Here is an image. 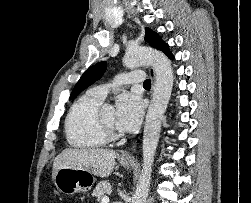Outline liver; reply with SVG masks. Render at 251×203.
Segmentation results:
<instances>
[{"instance_id":"obj_1","label":"liver","mask_w":251,"mask_h":203,"mask_svg":"<svg viewBox=\"0 0 251 203\" xmlns=\"http://www.w3.org/2000/svg\"><path fill=\"white\" fill-rule=\"evenodd\" d=\"M117 153L108 149H73L63 150L54 160L52 179L61 168L84 169L95 176L108 177L114 168Z\"/></svg>"}]
</instances>
